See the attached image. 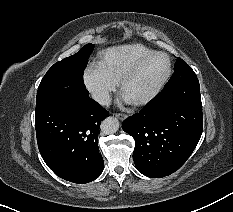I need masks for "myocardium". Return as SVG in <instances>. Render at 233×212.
Listing matches in <instances>:
<instances>
[{
  "instance_id": "myocardium-1",
  "label": "myocardium",
  "mask_w": 233,
  "mask_h": 212,
  "mask_svg": "<svg viewBox=\"0 0 233 212\" xmlns=\"http://www.w3.org/2000/svg\"><path fill=\"white\" fill-rule=\"evenodd\" d=\"M158 55L164 56L167 59V63H168L167 71H166L165 75L162 77V79L158 82V84L148 94H146L144 97H142L138 100L130 101L131 104L134 106L139 107V106H144V105L148 104L163 89V87L167 83L168 79L170 78L171 72H172V62H171L169 55L164 53V52H161V51H153V52L143 56L123 75V77L120 80V90L123 93L128 82L139 72L141 67L149 59H151L154 56H158Z\"/></svg>"
}]
</instances>
